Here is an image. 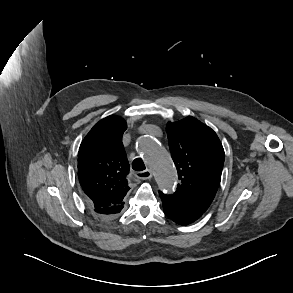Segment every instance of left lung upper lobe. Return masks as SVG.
<instances>
[{"label": "left lung upper lobe", "mask_w": 293, "mask_h": 293, "mask_svg": "<svg viewBox=\"0 0 293 293\" xmlns=\"http://www.w3.org/2000/svg\"><path fill=\"white\" fill-rule=\"evenodd\" d=\"M172 159L180 183L171 198L204 213L215 197L224 164V149L216 133L189 116L167 124Z\"/></svg>", "instance_id": "5c2ea615"}]
</instances>
